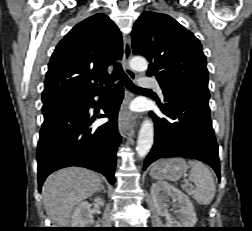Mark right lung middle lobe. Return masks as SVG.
I'll list each match as a JSON object with an SVG mask.
<instances>
[{
    "label": "right lung middle lobe",
    "mask_w": 252,
    "mask_h": 231,
    "mask_svg": "<svg viewBox=\"0 0 252 231\" xmlns=\"http://www.w3.org/2000/svg\"><path fill=\"white\" fill-rule=\"evenodd\" d=\"M75 100L76 97H64L43 102L42 112L44 117L70 107Z\"/></svg>",
    "instance_id": "dd1d6c3e"
}]
</instances>
